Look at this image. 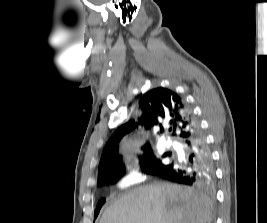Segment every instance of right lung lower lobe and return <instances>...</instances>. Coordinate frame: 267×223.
Listing matches in <instances>:
<instances>
[{"mask_svg":"<svg viewBox=\"0 0 267 223\" xmlns=\"http://www.w3.org/2000/svg\"><path fill=\"white\" fill-rule=\"evenodd\" d=\"M194 131L195 134L184 142L186 161L169 164L157 175L179 184L209 188L215 180L211 152L198 124Z\"/></svg>","mask_w":267,"mask_h":223,"instance_id":"right-lung-lower-lobe-1","label":"right lung lower lobe"}]
</instances>
